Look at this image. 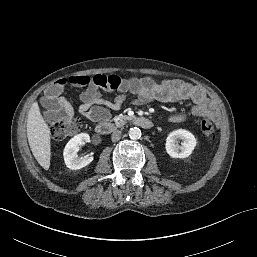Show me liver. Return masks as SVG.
<instances>
[{
    "label": "liver",
    "instance_id": "1",
    "mask_svg": "<svg viewBox=\"0 0 257 257\" xmlns=\"http://www.w3.org/2000/svg\"><path fill=\"white\" fill-rule=\"evenodd\" d=\"M27 138L35 159L48 170L51 159L50 128L42 117L37 102L31 105L28 113Z\"/></svg>",
    "mask_w": 257,
    "mask_h": 257
}]
</instances>
